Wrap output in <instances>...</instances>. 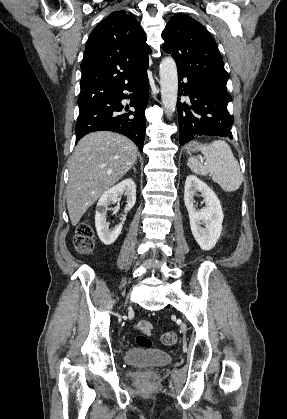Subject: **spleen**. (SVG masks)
<instances>
[{"instance_id": "1", "label": "spleen", "mask_w": 287, "mask_h": 419, "mask_svg": "<svg viewBox=\"0 0 287 419\" xmlns=\"http://www.w3.org/2000/svg\"><path fill=\"white\" fill-rule=\"evenodd\" d=\"M205 163L198 158L190 157L187 165L196 174L212 177L226 192L236 191L243 182L239 163L230 146L223 140H215L200 146Z\"/></svg>"}]
</instances>
